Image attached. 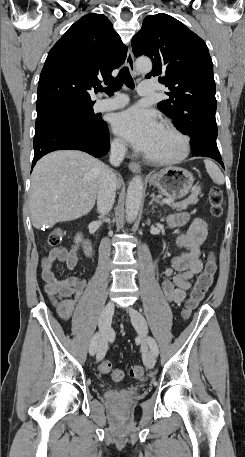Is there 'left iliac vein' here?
<instances>
[{
  "mask_svg": "<svg viewBox=\"0 0 245 457\" xmlns=\"http://www.w3.org/2000/svg\"><path fill=\"white\" fill-rule=\"evenodd\" d=\"M128 312L131 316V321L134 328L139 332L140 337L145 342L147 338L148 325L141 313L134 308H129ZM143 362L147 369H152L155 365V355L148 349L146 343L142 347Z\"/></svg>",
  "mask_w": 245,
  "mask_h": 457,
  "instance_id": "obj_1",
  "label": "left iliac vein"
}]
</instances>
